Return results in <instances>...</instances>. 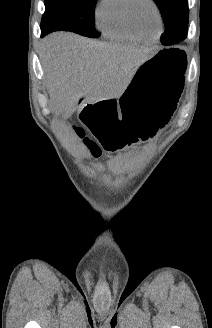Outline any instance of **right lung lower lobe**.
<instances>
[{
	"label": "right lung lower lobe",
	"mask_w": 212,
	"mask_h": 328,
	"mask_svg": "<svg viewBox=\"0 0 212 328\" xmlns=\"http://www.w3.org/2000/svg\"><path fill=\"white\" fill-rule=\"evenodd\" d=\"M45 34H47V32L44 29H41V35L43 36Z\"/></svg>",
	"instance_id": "right-lung-lower-lobe-1"
}]
</instances>
